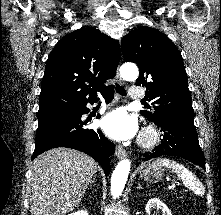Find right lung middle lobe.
<instances>
[{"mask_svg": "<svg viewBox=\"0 0 221 215\" xmlns=\"http://www.w3.org/2000/svg\"><path fill=\"white\" fill-rule=\"evenodd\" d=\"M42 119H46V118H38V120H42Z\"/></svg>", "mask_w": 221, "mask_h": 215, "instance_id": "right-lung-middle-lobe-1", "label": "right lung middle lobe"}]
</instances>
